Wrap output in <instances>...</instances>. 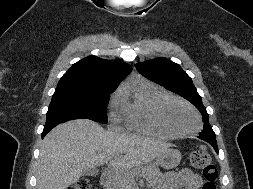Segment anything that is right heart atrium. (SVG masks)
Instances as JSON below:
<instances>
[{
  "label": "right heart atrium",
  "instance_id": "d8ad5b80",
  "mask_svg": "<svg viewBox=\"0 0 253 189\" xmlns=\"http://www.w3.org/2000/svg\"><path fill=\"white\" fill-rule=\"evenodd\" d=\"M125 99L124 91L117 90L109 101L108 113L111 122L118 124L124 119Z\"/></svg>",
  "mask_w": 253,
  "mask_h": 189
}]
</instances>
